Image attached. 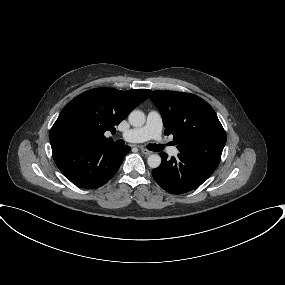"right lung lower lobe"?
<instances>
[{
	"label": "right lung lower lobe",
	"mask_w": 285,
	"mask_h": 285,
	"mask_svg": "<svg viewBox=\"0 0 285 285\" xmlns=\"http://www.w3.org/2000/svg\"><path fill=\"white\" fill-rule=\"evenodd\" d=\"M51 148L59 170L72 183L87 189L98 188L109 181L130 152L129 146H92L74 141L56 142Z\"/></svg>",
	"instance_id": "98d812e1"
}]
</instances>
